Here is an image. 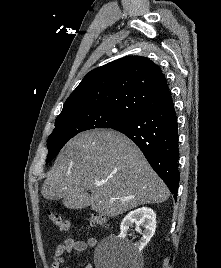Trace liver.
I'll return each instance as SVG.
<instances>
[{
	"label": "liver",
	"instance_id": "6515ba94",
	"mask_svg": "<svg viewBox=\"0 0 221 268\" xmlns=\"http://www.w3.org/2000/svg\"><path fill=\"white\" fill-rule=\"evenodd\" d=\"M41 194L47 200L62 199L67 208L87 203L93 211L115 217L140 205L164 202L170 192L129 138L114 130H92L64 146Z\"/></svg>",
	"mask_w": 221,
	"mask_h": 268
}]
</instances>
